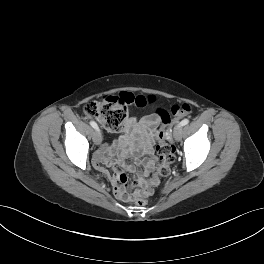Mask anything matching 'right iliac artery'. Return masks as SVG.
I'll list each match as a JSON object with an SVG mask.
<instances>
[{
  "label": "right iliac artery",
  "instance_id": "obj_1",
  "mask_svg": "<svg viewBox=\"0 0 264 264\" xmlns=\"http://www.w3.org/2000/svg\"><path fill=\"white\" fill-rule=\"evenodd\" d=\"M90 125H91L94 129L99 130L98 125H97L94 121H90Z\"/></svg>",
  "mask_w": 264,
  "mask_h": 264
}]
</instances>
